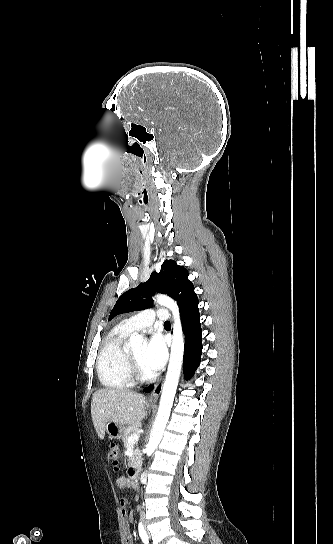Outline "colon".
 Masks as SVG:
<instances>
[{
	"mask_svg": "<svg viewBox=\"0 0 333 544\" xmlns=\"http://www.w3.org/2000/svg\"><path fill=\"white\" fill-rule=\"evenodd\" d=\"M119 457V450L115 443L109 445V459L113 462L114 465L117 464Z\"/></svg>",
	"mask_w": 333,
	"mask_h": 544,
	"instance_id": "colon-1",
	"label": "colon"
}]
</instances>
